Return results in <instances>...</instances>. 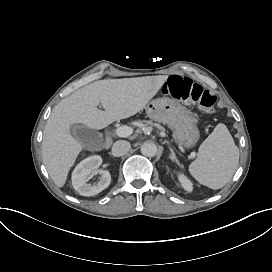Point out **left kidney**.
I'll return each instance as SVG.
<instances>
[{
  "mask_svg": "<svg viewBox=\"0 0 272 272\" xmlns=\"http://www.w3.org/2000/svg\"><path fill=\"white\" fill-rule=\"evenodd\" d=\"M178 180L180 181L184 190H186L188 192H192L193 184L184 174H179Z\"/></svg>",
  "mask_w": 272,
  "mask_h": 272,
  "instance_id": "left-kidney-1",
  "label": "left kidney"
}]
</instances>
